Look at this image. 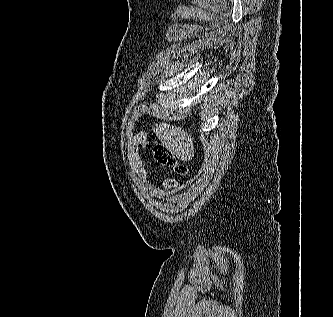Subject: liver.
Returning <instances> with one entry per match:
<instances>
[{"label":"liver","mask_w":333,"mask_h":317,"mask_svg":"<svg viewBox=\"0 0 333 317\" xmlns=\"http://www.w3.org/2000/svg\"><path fill=\"white\" fill-rule=\"evenodd\" d=\"M153 130L162 145L178 159L188 161L193 158V138L181 127L161 122L155 124Z\"/></svg>","instance_id":"6515ba94"}]
</instances>
